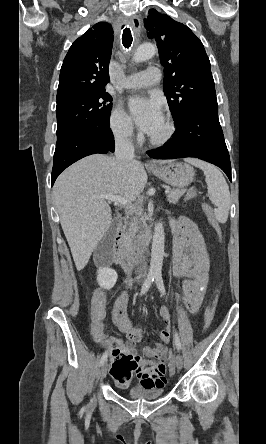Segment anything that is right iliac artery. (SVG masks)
Segmentation results:
<instances>
[{
    "label": "right iliac artery",
    "mask_w": 266,
    "mask_h": 444,
    "mask_svg": "<svg viewBox=\"0 0 266 444\" xmlns=\"http://www.w3.org/2000/svg\"><path fill=\"white\" fill-rule=\"evenodd\" d=\"M154 279H155V274L149 273L142 288H141V292H140L141 296L144 295L148 291V289L150 288ZM107 355H108L107 351H105L100 359V365H103V363L107 360Z\"/></svg>",
    "instance_id": "right-iliac-artery-1"
}]
</instances>
